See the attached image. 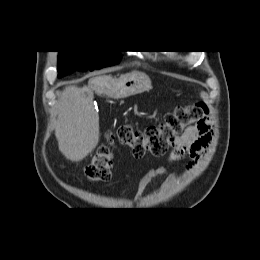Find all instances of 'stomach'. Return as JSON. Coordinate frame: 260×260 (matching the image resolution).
<instances>
[{"instance_id":"0dacf381","label":"stomach","mask_w":260,"mask_h":260,"mask_svg":"<svg viewBox=\"0 0 260 260\" xmlns=\"http://www.w3.org/2000/svg\"><path fill=\"white\" fill-rule=\"evenodd\" d=\"M152 88L150 78L142 73L121 76L112 88V98L119 99L149 91Z\"/></svg>"}]
</instances>
